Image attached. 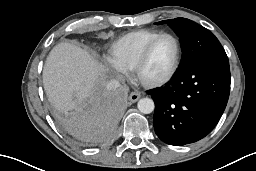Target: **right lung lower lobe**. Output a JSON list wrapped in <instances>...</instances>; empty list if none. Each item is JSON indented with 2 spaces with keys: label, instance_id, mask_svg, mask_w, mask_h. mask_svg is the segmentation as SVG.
Returning <instances> with one entry per match:
<instances>
[{
  "label": "right lung lower lobe",
  "instance_id": "obj_1",
  "mask_svg": "<svg viewBox=\"0 0 256 171\" xmlns=\"http://www.w3.org/2000/svg\"><path fill=\"white\" fill-rule=\"evenodd\" d=\"M125 105L123 89L103 92L65 119L63 126L73 137L86 143H104L113 136Z\"/></svg>",
  "mask_w": 256,
  "mask_h": 171
}]
</instances>
